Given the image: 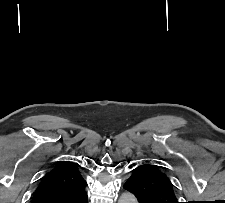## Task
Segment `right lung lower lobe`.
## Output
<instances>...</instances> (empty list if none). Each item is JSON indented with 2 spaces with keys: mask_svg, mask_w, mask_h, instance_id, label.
<instances>
[{
  "mask_svg": "<svg viewBox=\"0 0 225 203\" xmlns=\"http://www.w3.org/2000/svg\"><path fill=\"white\" fill-rule=\"evenodd\" d=\"M87 199H88V197H87V193H86L83 197L79 198L78 200H76L75 202H72V203H87Z\"/></svg>",
  "mask_w": 225,
  "mask_h": 203,
  "instance_id": "98d812e1",
  "label": "right lung lower lobe"
}]
</instances>
